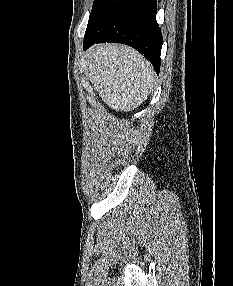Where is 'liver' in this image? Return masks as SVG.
Instances as JSON below:
<instances>
[{"label": "liver", "mask_w": 233, "mask_h": 286, "mask_svg": "<svg viewBox=\"0 0 233 286\" xmlns=\"http://www.w3.org/2000/svg\"><path fill=\"white\" fill-rule=\"evenodd\" d=\"M88 76L108 107L128 112L147 99L156 75L150 63L136 50L104 44L88 51Z\"/></svg>", "instance_id": "6515ba94"}]
</instances>
